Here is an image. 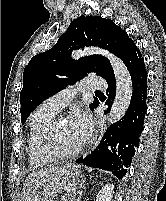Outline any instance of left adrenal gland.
<instances>
[{"instance_id": "left-adrenal-gland-1", "label": "left adrenal gland", "mask_w": 166, "mask_h": 201, "mask_svg": "<svg viewBox=\"0 0 166 201\" xmlns=\"http://www.w3.org/2000/svg\"><path fill=\"white\" fill-rule=\"evenodd\" d=\"M84 182H85L84 179L78 180V182H77L78 189H79V190L77 191V193H78V199H77V201H80V198H81V196H82V193H83L82 188H84V186H83Z\"/></svg>"}]
</instances>
